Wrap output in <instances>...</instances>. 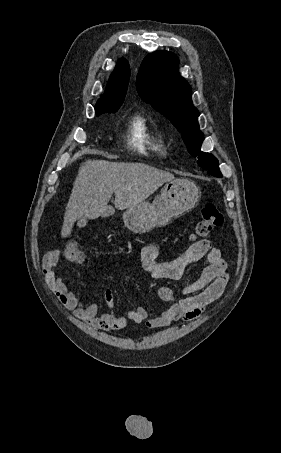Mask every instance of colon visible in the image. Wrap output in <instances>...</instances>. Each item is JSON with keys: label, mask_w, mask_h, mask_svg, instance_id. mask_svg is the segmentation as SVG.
I'll return each instance as SVG.
<instances>
[{"label": "colon", "mask_w": 281, "mask_h": 453, "mask_svg": "<svg viewBox=\"0 0 281 453\" xmlns=\"http://www.w3.org/2000/svg\"><path fill=\"white\" fill-rule=\"evenodd\" d=\"M224 217L213 202L201 205V216L197 223V235L204 238L215 228L222 226ZM64 258L68 261L84 262L86 255L75 238H67L63 249Z\"/></svg>", "instance_id": "5ec220e1"}]
</instances>
